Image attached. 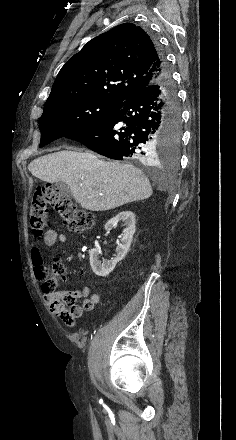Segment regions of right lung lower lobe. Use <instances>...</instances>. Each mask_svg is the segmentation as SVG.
Instances as JSON below:
<instances>
[{"mask_svg": "<svg viewBox=\"0 0 236 440\" xmlns=\"http://www.w3.org/2000/svg\"><path fill=\"white\" fill-rule=\"evenodd\" d=\"M162 75L152 84L132 95L104 120L78 132L70 139L108 158L132 159L151 164L155 159L151 146L165 129L181 126V114L165 57L158 44Z\"/></svg>", "mask_w": 236, "mask_h": 440, "instance_id": "98d812e1", "label": "right lung lower lobe"}]
</instances>
